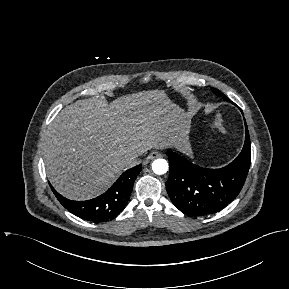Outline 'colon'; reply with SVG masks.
Segmentation results:
<instances>
[{
    "instance_id": "1",
    "label": "colon",
    "mask_w": 289,
    "mask_h": 289,
    "mask_svg": "<svg viewBox=\"0 0 289 289\" xmlns=\"http://www.w3.org/2000/svg\"><path fill=\"white\" fill-rule=\"evenodd\" d=\"M212 127L217 130L219 133L221 134H226L227 133V129L223 123V120L221 117L217 116L216 118H214L213 122H212Z\"/></svg>"
}]
</instances>
